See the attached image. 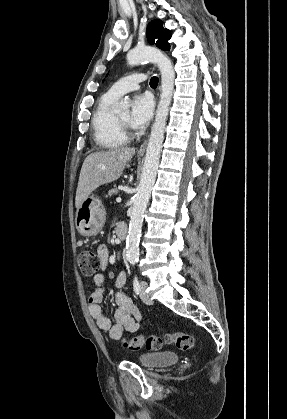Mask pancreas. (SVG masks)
<instances>
[{
    "mask_svg": "<svg viewBox=\"0 0 287 419\" xmlns=\"http://www.w3.org/2000/svg\"><path fill=\"white\" fill-rule=\"evenodd\" d=\"M117 192H118L117 188L114 187L108 192L107 197H111L113 194H117Z\"/></svg>",
    "mask_w": 287,
    "mask_h": 419,
    "instance_id": "1",
    "label": "pancreas"
}]
</instances>
